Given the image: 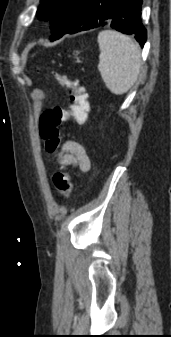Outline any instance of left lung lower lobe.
<instances>
[{
  "label": "left lung lower lobe",
  "instance_id": "1",
  "mask_svg": "<svg viewBox=\"0 0 171 337\" xmlns=\"http://www.w3.org/2000/svg\"><path fill=\"white\" fill-rule=\"evenodd\" d=\"M142 0H85L74 26L67 32L77 33L109 25L125 34H134L144 46L147 33L141 23Z\"/></svg>",
  "mask_w": 171,
  "mask_h": 337
}]
</instances>
